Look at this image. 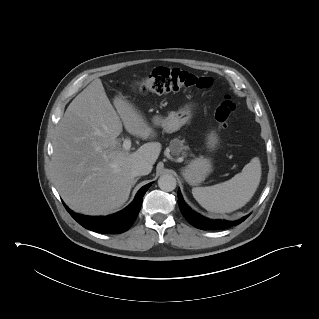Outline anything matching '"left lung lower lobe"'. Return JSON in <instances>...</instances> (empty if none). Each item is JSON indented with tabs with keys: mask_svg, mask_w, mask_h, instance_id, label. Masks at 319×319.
<instances>
[{
	"mask_svg": "<svg viewBox=\"0 0 319 319\" xmlns=\"http://www.w3.org/2000/svg\"><path fill=\"white\" fill-rule=\"evenodd\" d=\"M178 204L183 216L186 220L192 224L194 227L202 230H211V229H224L232 227L243 222L249 215L236 220V221H227V220H211L205 218L198 213L192 211L184 202L180 191H178Z\"/></svg>",
	"mask_w": 319,
	"mask_h": 319,
	"instance_id": "obj_1",
	"label": "left lung lower lobe"
}]
</instances>
